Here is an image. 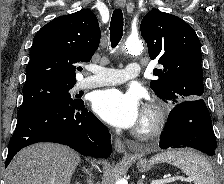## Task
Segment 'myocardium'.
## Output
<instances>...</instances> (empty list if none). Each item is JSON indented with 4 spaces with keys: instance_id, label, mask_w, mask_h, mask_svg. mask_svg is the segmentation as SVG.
I'll return each mask as SVG.
<instances>
[{
    "instance_id": "obj_1",
    "label": "myocardium",
    "mask_w": 224,
    "mask_h": 184,
    "mask_svg": "<svg viewBox=\"0 0 224 184\" xmlns=\"http://www.w3.org/2000/svg\"><path fill=\"white\" fill-rule=\"evenodd\" d=\"M167 122V110L155 103L144 106L142 118L134 129V135L141 140H150L158 137L164 130Z\"/></svg>"
}]
</instances>
